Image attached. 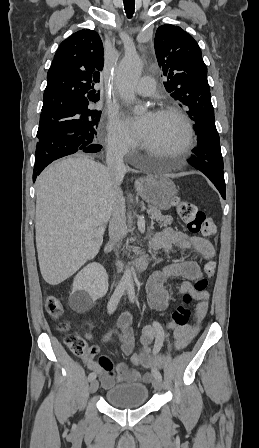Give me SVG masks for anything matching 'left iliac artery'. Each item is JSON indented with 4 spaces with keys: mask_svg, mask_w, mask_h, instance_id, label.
I'll return each mask as SVG.
<instances>
[{
    "mask_svg": "<svg viewBox=\"0 0 259 448\" xmlns=\"http://www.w3.org/2000/svg\"><path fill=\"white\" fill-rule=\"evenodd\" d=\"M127 292H128V296L129 299L132 303H134L135 301V290H134V285L132 283H129L127 285ZM153 327L155 329L156 332V339H155V343H154V347H153V354L157 355L159 353V351L161 350L163 343H164V338H165V333L163 330V327L161 326L160 323L158 322H153ZM153 375L155 378H158L160 380H162V375L161 373L156 370L153 372Z\"/></svg>",
    "mask_w": 259,
    "mask_h": 448,
    "instance_id": "1",
    "label": "left iliac artery"
}]
</instances>
